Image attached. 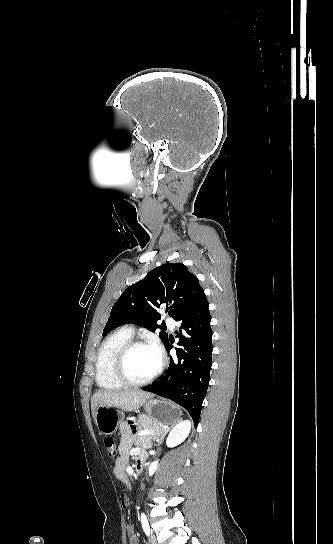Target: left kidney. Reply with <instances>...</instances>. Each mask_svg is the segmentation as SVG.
<instances>
[{"label": "left kidney", "instance_id": "5707ae66", "mask_svg": "<svg viewBox=\"0 0 333 544\" xmlns=\"http://www.w3.org/2000/svg\"><path fill=\"white\" fill-rule=\"evenodd\" d=\"M190 430L191 422L189 420L179 422L169 433L166 445L171 448L181 444L189 435Z\"/></svg>", "mask_w": 333, "mask_h": 544}]
</instances>
